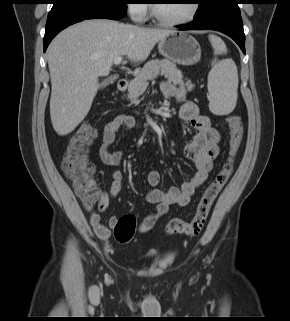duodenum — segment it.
I'll list each match as a JSON object with an SVG mask.
<instances>
[{
	"instance_id": "410a0bca",
	"label": "duodenum",
	"mask_w": 290,
	"mask_h": 321,
	"mask_svg": "<svg viewBox=\"0 0 290 321\" xmlns=\"http://www.w3.org/2000/svg\"><path fill=\"white\" fill-rule=\"evenodd\" d=\"M128 86V80L127 79H120L116 83V89L118 92H125Z\"/></svg>"
}]
</instances>
